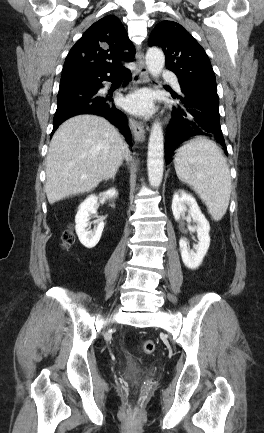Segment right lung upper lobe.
Wrapping results in <instances>:
<instances>
[{
  "label": "right lung upper lobe",
  "mask_w": 264,
  "mask_h": 433,
  "mask_svg": "<svg viewBox=\"0 0 264 433\" xmlns=\"http://www.w3.org/2000/svg\"><path fill=\"white\" fill-rule=\"evenodd\" d=\"M134 55L122 23L114 15L105 16L86 30L68 53L60 84L119 73L126 69L120 63L131 61Z\"/></svg>",
  "instance_id": "obj_1"
}]
</instances>
